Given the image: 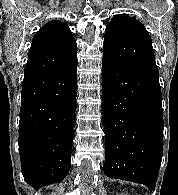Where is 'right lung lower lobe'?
Returning a JSON list of instances; mask_svg holds the SVG:
<instances>
[{
    "label": "right lung lower lobe",
    "mask_w": 178,
    "mask_h": 195,
    "mask_svg": "<svg viewBox=\"0 0 178 195\" xmlns=\"http://www.w3.org/2000/svg\"><path fill=\"white\" fill-rule=\"evenodd\" d=\"M77 62L24 75L19 125L21 171L33 188L62 180L71 167Z\"/></svg>",
    "instance_id": "obj_1"
}]
</instances>
